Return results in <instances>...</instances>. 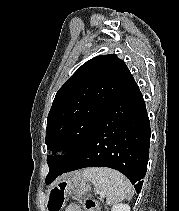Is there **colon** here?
<instances>
[{
  "label": "colon",
  "instance_id": "colon-1",
  "mask_svg": "<svg viewBox=\"0 0 179 211\" xmlns=\"http://www.w3.org/2000/svg\"><path fill=\"white\" fill-rule=\"evenodd\" d=\"M73 186L79 191H84L86 189V185L79 180H76L73 183ZM69 192V187L67 185H61L55 190L52 191L49 200V209L50 211H60L62 204ZM82 206L85 211H102L96 202L91 198H85L82 201Z\"/></svg>",
  "mask_w": 179,
  "mask_h": 211
}]
</instances>
